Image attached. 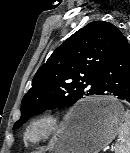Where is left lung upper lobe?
<instances>
[{
  "label": "left lung upper lobe",
  "mask_w": 130,
  "mask_h": 153,
  "mask_svg": "<svg viewBox=\"0 0 130 153\" xmlns=\"http://www.w3.org/2000/svg\"><path fill=\"white\" fill-rule=\"evenodd\" d=\"M122 35L113 24L95 21L65 40L36 72L13 129L38 113L97 95L101 72Z\"/></svg>",
  "instance_id": "left-lung-upper-lobe-1"
}]
</instances>
